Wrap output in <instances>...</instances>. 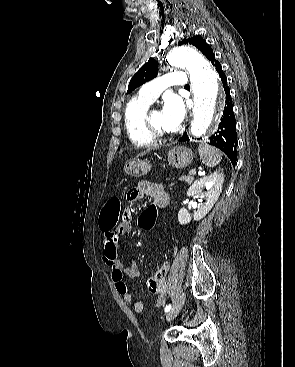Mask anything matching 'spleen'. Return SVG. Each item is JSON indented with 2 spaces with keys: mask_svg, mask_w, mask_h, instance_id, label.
Here are the masks:
<instances>
[{
  "mask_svg": "<svg viewBox=\"0 0 295 367\" xmlns=\"http://www.w3.org/2000/svg\"><path fill=\"white\" fill-rule=\"evenodd\" d=\"M198 152L203 163L210 168L218 165L222 158V153L207 143L199 144Z\"/></svg>",
  "mask_w": 295,
  "mask_h": 367,
  "instance_id": "1",
  "label": "spleen"
}]
</instances>
